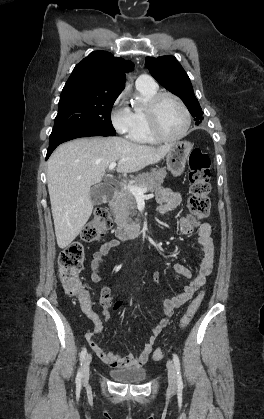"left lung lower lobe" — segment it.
I'll use <instances>...</instances> for the list:
<instances>
[{"instance_id": "0a47b994", "label": "left lung lower lobe", "mask_w": 264, "mask_h": 419, "mask_svg": "<svg viewBox=\"0 0 264 419\" xmlns=\"http://www.w3.org/2000/svg\"><path fill=\"white\" fill-rule=\"evenodd\" d=\"M202 119H203V117L202 118H200L198 121H196L195 123H196V125H199L200 124V122L202 121Z\"/></svg>"}]
</instances>
